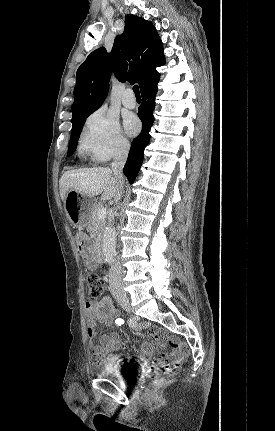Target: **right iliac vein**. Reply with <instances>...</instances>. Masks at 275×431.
Returning a JSON list of instances; mask_svg holds the SVG:
<instances>
[{"mask_svg":"<svg viewBox=\"0 0 275 431\" xmlns=\"http://www.w3.org/2000/svg\"><path fill=\"white\" fill-rule=\"evenodd\" d=\"M118 303L127 311L130 310V303L127 295L125 293H117L115 295Z\"/></svg>","mask_w":275,"mask_h":431,"instance_id":"right-iliac-vein-1","label":"right iliac vein"}]
</instances>
